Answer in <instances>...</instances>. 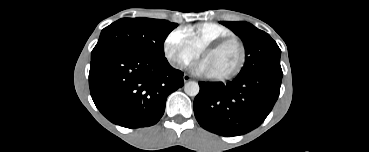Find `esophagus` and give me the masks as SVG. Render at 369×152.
Segmentation results:
<instances>
[{"mask_svg": "<svg viewBox=\"0 0 369 152\" xmlns=\"http://www.w3.org/2000/svg\"><path fill=\"white\" fill-rule=\"evenodd\" d=\"M183 80H184V82H188V81L191 80V76H189L188 74H184Z\"/></svg>", "mask_w": 369, "mask_h": 152, "instance_id": "1", "label": "esophagus"}]
</instances>
